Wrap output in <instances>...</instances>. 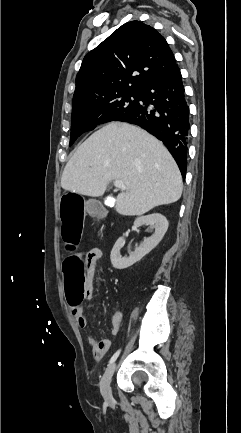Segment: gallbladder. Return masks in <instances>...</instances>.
Instances as JSON below:
<instances>
[{"mask_svg":"<svg viewBox=\"0 0 241 433\" xmlns=\"http://www.w3.org/2000/svg\"><path fill=\"white\" fill-rule=\"evenodd\" d=\"M87 208L89 213H91L92 215L105 216L107 213L103 205L97 200H89L87 203Z\"/></svg>","mask_w":241,"mask_h":433,"instance_id":"obj_1","label":"gallbladder"}]
</instances>
